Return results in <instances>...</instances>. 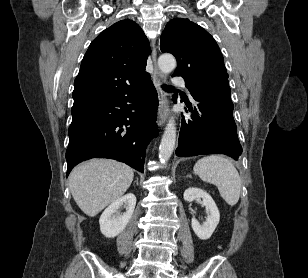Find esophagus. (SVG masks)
Instances as JSON below:
<instances>
[{"instance_id": "34e87169", "label": "esophagus", "mask_w": 308, "mask_h": 278, "mask_svg": "<svg viewBox=\"0 0 308 278\" xmlns=\"http://www.w3.org/2000/svg\"><path fill=\"white\" fill-rule=\"evenodd\" d=\"M152 61L154 65L153 73V83L158 93V114H157V124L163 126L167 120L166 106H167V97L165 91L162 89V84L165 82V78L162 73L159 71L157 66V51L156 48L152 50Z\"/></svg>"}]
</instances>
